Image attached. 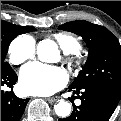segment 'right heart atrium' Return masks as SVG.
<instances>
[{"label":"right heart atrium","instance_id":"right-heart-atrium-1","mask_svg":"<svg viewBox=\"0 0 121 121\" xmlns=\"http://www.w3.org/2000/svg\"><path fill=\"white\" fill-rule=\"evenodd\" d=\"M36 42L26 35L16 37L9 45L8 54L12 64L19 65L32 58L35 54Z\"/></svg>","mask_w":121,"mask_h":121}]
</instances>
